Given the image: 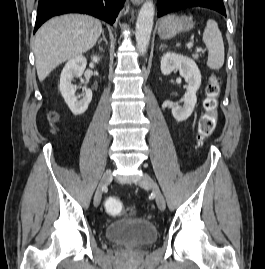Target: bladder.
Segmentation results:
<instances>
[{
    "instance_id": "bladder-1",
    "label": "bladder",
    "mask_w": 265,
    "mask_h": 269,
    "mask_svg": "<svg viewBox=\"0 0 265 269\" xmlns=\"http://www.w3.org/2000/svg\"><path fill=\"white\" fill-rule=\"evenodd\" d=\"M158 236L156 226L149 220H118L105 229V237L113 243L130 245H147L153 243Z\"/></svg>"
}]
</instances>
